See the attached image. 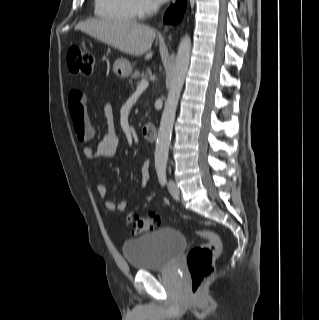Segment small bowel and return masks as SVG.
<instances>
[{
	"mask_svg": "<svg viewBox=\"0 0 319 320\" xmlns=\"http://www.w3.org/2000/svg\"><path fill=\"white\" fill-rule=\"evenodd\" d=\"M68 104L73 123L83 124L85 127H88L91 130L93 136L95 131L87 114L86 95L84 94V92L80 89H72L69 93ZM103 111L110 129L107 133L104 134L95 148L89 145L83 147V155L87 160L92 161L99 158H113L118 154L120 138L117 132L114 130V111L112 105L106 104ZM149 168L150 163L148 161L143 162L140 167L143 186H146V184L148 183ZM96 192L98 196L104 198L107 195V188L104 184L97 183ZM104 206L108 211L122 212L126 210L127 202H114L112 200L106 199L104 201Z\"/></svg>",
	"mask_w": 319,
	"mask_h": 320,
	"instance_id": "c3829d8e",
	"label": "small bowel"
}]
</instances>
